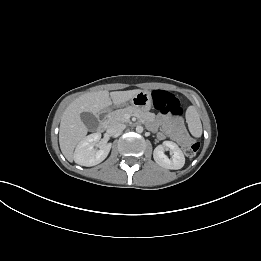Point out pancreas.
<instances>
[{"label":"pancreas","mask_w":261,"mask_h":261,"mask_svg":"<svg viewBox=\"0 0 261 261\" xmlns=\"http://www.w3.org/2000/svg\"><path fill=\"white\" fill-rule=\"evenodd\" d=\"M126 115H134L144 118H148L151 116L149 112H144L138 108L129 106L124 109H119L110 113L106 119V122L109 126L115 123H127L129 122V119L126 118Z\"/></svg>","instance_id":"pancreas-1"}]
</instances>
